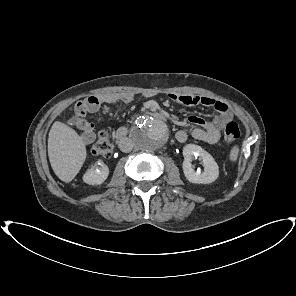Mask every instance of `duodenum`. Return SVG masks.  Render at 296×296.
Here are the masks:
<instances>
[{"label": "duodenum", "mask_w": 296, "mask_h": 296, "mask_svg": "<svg viewBox=\"0 0 296 296\" xmlns=\"http://www.w3.org/2000/svg\"><path fill=\"white\" fill-rule=\"evenodd\" d=\"M144 114L147 115H151L153 116L155 119L159 120V121H164L165 120V116L158 112V111H145ZM116 141L118 143V145L121 148H125L128 145V137H127V128L122 127L120 129L117 130L116 135H115Z\"/></svg>", "instance_id": "410a0bca"}]
</instances>
